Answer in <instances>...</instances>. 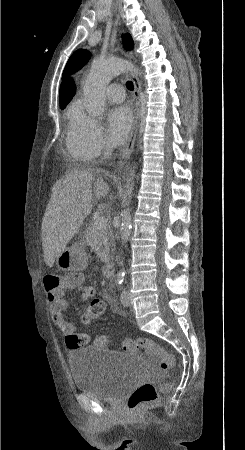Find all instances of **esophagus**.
<instances>
[{
	"label": "esophagus",
	"mask_w": 245,
	"mask_h": 450,
	"mask_svg": "<svg viewBox=\"0 0 245 450\" xmlns=\"http://www.w3.org/2000/svg\"><path fill=\"white\" fill-rule=\"evenodd\" d=\"M127 56L131 59L133 56L132 54L129 52L127 53ZM131 77H132V81L134 84V92H133V97L135 100V118H134V123L132 126V130L130 132V136L128 138V141L126 142L125 146L123 147L121 153H120V157H119V161L117 164V168L115 172H120L123 167L125 166L127 160L130 158L133 150H134V145H135V140H136V135H137V131H138V127H139V123H140V112H141V101H140V92H141V86H140V82L137 78V76L134 73H131Z\"/></svg>",
	"instance_id": "esophagus-1"
}]
</instances>
